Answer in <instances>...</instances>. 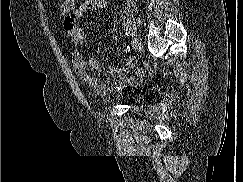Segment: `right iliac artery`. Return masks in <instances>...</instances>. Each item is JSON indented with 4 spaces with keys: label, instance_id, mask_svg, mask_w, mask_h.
<instances>
[{
    "label": "right iliac artery",
    "instance_id": "obj_1",
    "mask_svg": "<svg viewBox=\"0 0 243 182\" xmlns=\"http://www.w3.org/2000/svg\"><path fill=\"white\" fill-rule=\"evenodd\" d=\"M130 51V46L125 47V52L128 53Z\"/></svg>",
    "mask_w": 243,
    "mask_h": 182
}]
</instances>
